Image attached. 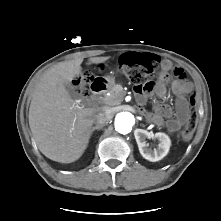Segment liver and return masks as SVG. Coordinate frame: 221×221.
Wrapping results in <instances>:
<instances>
[{
  "instance_id": "6515ba94",
  "label": "liver",
  "mask_w": 221,
  "mask_h": 221,
  "mask_svg": "<svg viewBox=\"0 0 221 221\" xmlns=\"http://www.w3.org/2000/svg\"><path fill=\"white\" fill-rule=\"evenodd\" d=\"M110 57H92L87 64H100ZM83 59L60 62L48 69L35 86L29 108V126L33 138L47 158L72 163L88 146L95 108L76 103L65 84L81 74Z\"/></svg>"
}]
</instances>
